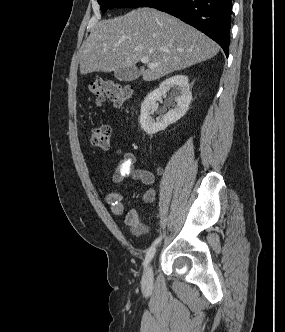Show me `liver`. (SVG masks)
Listing matches in <instances>:
<instances>
[{
  "label": "liver",
  "mask_w": 285,
  "mask_h": 332,
  "mask_svg": "<svg viewBox=\"0 0 285 332\" xmlns=\"http://www.w3.org/2000/svg\"><path fill=\"white\" fill-rule=\"evenodd\" d=\"M218 52L219 46L194 27L156 9L139 8L94 25L79 51L80 73L111 72L148 57L147 64L158 66H143L139 75L154 81Z\"/></svg>",
  "instance_id": "obj_1"
}]
</instances>
